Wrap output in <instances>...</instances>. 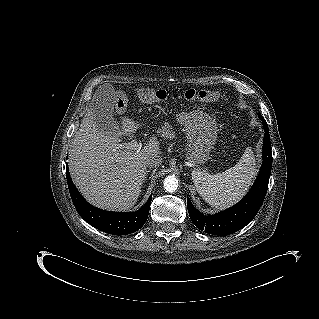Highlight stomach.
I'll return each instance as SVG.
<instances>
[{
    "label": "stomach",
    "instance_id": "1",
    "mask_svg": "<svg viewBox=\"0 0 319 319\" xmlns=\"http://www.w3.org/2000/svg\"><path fill=\"white\" fill-rule=\"evenodd\" d=\"M187 137L186 159L201 165L208 159L217 139V127L213 119L203 112H194L184 120Z\"/></svg>",
    "mask_w": 319,
    "mask_h": 319
}]
</instances>
